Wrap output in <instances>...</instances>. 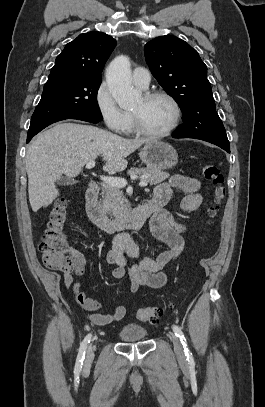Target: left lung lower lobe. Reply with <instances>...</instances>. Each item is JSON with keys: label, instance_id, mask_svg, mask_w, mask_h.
I'll use <instances>...</instances> for the list:
<instances>
[{"label": "left lung lower lobe", "instance_id": "1", "mask_svg": "<svg viewBox=\"0 0 265 407\" xmlns=\"http://www.w3.org/2000/svg\"><path fill=\"white\" fill-rule=\"evenodd\" d=\"M173 137L174 138H180V137H177V136H174L173 135ZM216 145V144H215ZM217 146H219V147H221L222 149H224L225 151H227L228 153H230V146H224V145H217Z\"/></svg>", "mask_w": 265, "mask_h": 407}]
</instances>
